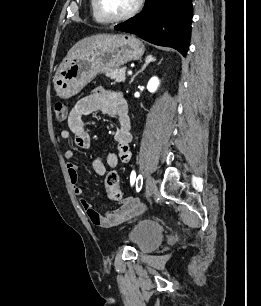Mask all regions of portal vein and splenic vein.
I'll return each instance as SVG.
<instances>
[{
    "mask_svg": "<svg viewBox=\"0 0 261 306\" xmlns=\"http://www.w3.org/2000/svg\"><path fill=\"white\" fill-rule=\"evenodd\" d=\"M128 75H132V71H128Z\"/></svg>",
    "mask_w": 261,
    "mask_h": 306,
    "instance_id": "18ae733b",
    "label": "portal vein and splenic vein"
}]
</instances>
